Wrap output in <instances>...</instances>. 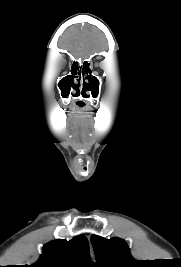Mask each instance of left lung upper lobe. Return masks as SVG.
Instances as JSON below:
<instances>
[{
    "label": "left lung upper lobe",
    "instance_id": "1",
    "mask_svg": "<svg viewBox=\"0 0 181 267\" xmlns=\"http://www.w3.org/2000/svg\"><path fill=\"white\" fill-rule=\"evenodd\" d=\"M91 242L96 257L93 267H138L142 264L130 255L126 242L120 238L93 235Z\"/></svg>",
    "mask_w": 181,
    "mask_h": 267
}]
</instances>
